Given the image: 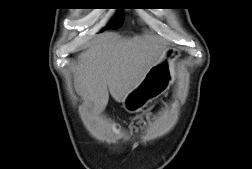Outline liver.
Wrapping results in <instances>:
<instances>
[{"label": "liver", "instance_id": "obj_1", "mask_svg": "<svg viewBox=\"0 0 252 169\" xmlns=\"http://www.w3.org/2000/svg\"><path fill=\"white\" fill-rule=\"evenodd\" d=\"M164 48L159 40L139 36L102 38L77 56L75 87L94 113H101L109 92L115 101L123 102L162 59Z\"/></svg>", "mask_w": 252, "mask_h": 169}]
</instances>
